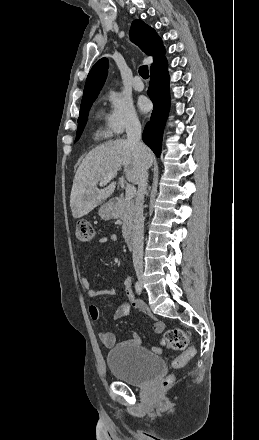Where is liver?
Returning a JSON list of instances; mask_svg holds the SVG:
<instances>
[{
    "instance_id": "1",
    "label": "liver",
    "mask_w": 259,
    "mask_h": 440,
    "mask_svg": "<svg viewBox=\"0 0 259 440\" xmlns=\"http://www.w3.org/2000/svg\"><path fill=\"white\" fill-rule=\"evenodd\" d=\"M148 166L153 163V155L148 149ZM124 168L126 179L138 183L141 165L135 146L125 139L108 141L91 150L78 167L70 195V207L74 218L87 215L95 207L105 202L114 192L116 182L98 189L97 184L108 174Z\"/></svg>"
}]
</instances>
